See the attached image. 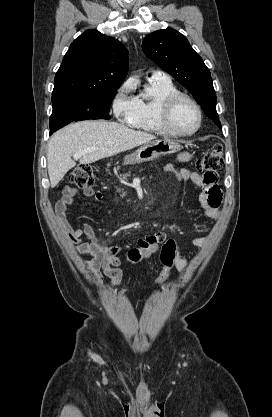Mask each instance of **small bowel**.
Returning <instances> with one entry per match:
<instances>
[{
	"label": "small bowel",
	"instance_id": "small-bowel-1",
	"mask_svg": "<svg viewBox=\"0 0 272 417\" xmlns=\"http://www.w3.org/2000/svg\"><path fill=\"white\" fill-rule=\"evenodd\" d=\"M192 157V154L185 152L178 156V161L184 163L191 160ZM163 171L166 174L173 175L178 181L189 180L198 186L200 188L198 201L203 208L204 215L213 219L218 217L222 192L218 186L216 173L200 175L188 168L177 169L173 163H167L163 167ZM77 194L78 190L75 187H64L62 197L56 204L58 220L62 224L67 238L74 244L76 252L92 256V260L86 263V267L94 279L95 287L99 288L103 284L104 274L101 271L102 269L111 278V287L115 288L122 278V271L119 269L121 253L143 241L164 240L167 238V234L157 231L138 238L125 247L107 246L96 237L94 229L90 224L77 225L68 216V209ZM83 195L97 201L102 199V193L95 191L91 187L84 188ZM184 242L192 246H203L207 239L204 237H190ZM182 244L183 241L178 242L174 263V268L179 272H185L188 268V262L182 254Z\"/></svg>",
	"mask_w": 272,
	"mask_h": 417
}]
</instances>
